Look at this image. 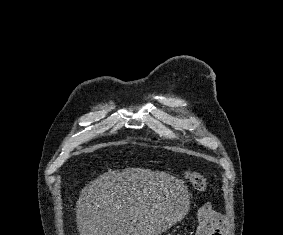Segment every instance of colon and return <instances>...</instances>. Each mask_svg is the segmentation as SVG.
Masks as SVG:
<instances>
[{"label":"colon","mask_w":283,"mask_h":235,"mask_svg":"<svg viewBox=\"0 0 283 235\" xmlns=\"http://www.w3.org/2000/svg\"><path fill=\"white\" fill-rule=\"evenodd\" d=\"M186 178L189 180V182L193 185V187L196 190L200 192L205 191L207 187V182L205 177L201 173L195 170H189L186 172Z\"/></svg>","instance_id":"5ec220e1"}]
</instances>
